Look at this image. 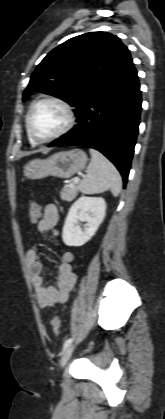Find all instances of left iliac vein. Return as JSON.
<instances>
[{"label": "left iliac vein", "mask_w": 165, "mask_h": 419, "mask_svg": "<svg viewBox=\"0 0 165 419\" xmlns=\"http://www.w3.org/2000/svg\"><path fill=\"white\" fill-rule=\"evenodd\" d=\"M73 350H74V345H69L63 352L61 356V360H60L61 369H63L66 366L68 360L70 359L72 355Z\"/></svg>", "instance_id": "1"}]
</instances>
